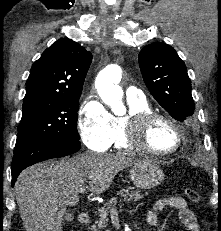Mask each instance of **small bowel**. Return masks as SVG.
I'll return each mask as SVG.
<instances>
[{
    "mask_svg": "<svg viewBox=\"0 0 221 231\" xmlns=\"http://www.w3.org/2000/svg\"><path fill=\"white\" fill-rule=\"evenodd\" d=\"M165 208L176 210L180 221L189 231H200V226L195 214L188 208L186 200L180 196L161 197L157 199L147 216L150 225H158L157 213Z\"/></svg>",
    "mask_w": 221,
    "mask_h": 231,
    "instance_id": "1",
    "label": "small bowel"
}]
</instances>
